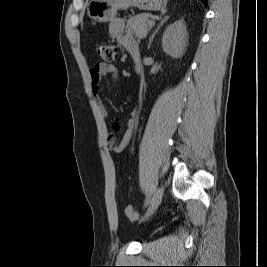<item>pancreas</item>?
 <instances>
[{
  "label": "pancreas",
  "instance_id": "pancreas-1",
  "mask_svg": "<svg viewBox=\"0 0 267 267\" xmlns=\"http://www.w3.org/2000/svg\"><path fill=\"white\" fill-rule=\"evenodd\" d=\"M150 14H138L127 20V29L138 39H143L147 36L150 27Z\"/></svg>",
  "mask_w": 267,
  "mask_h": 267
}]
</instances>
